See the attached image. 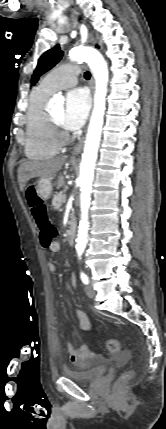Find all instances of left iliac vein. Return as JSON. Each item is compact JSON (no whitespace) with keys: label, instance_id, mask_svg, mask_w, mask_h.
Listing matches in <instances>:
<instances>
[{"label":"left iliac vein","instance_id":"left-iliac-vein-1","mask_svg":"<svg viewBox=\"0 0 166 429\" xmlns=\"http://www.w3.org/2000/svg\"><path fill=\"white\" fill-rule=\"evenodd\" d=\"M85 292H86V295L89 298H94L95 295H96V292H95L94 288L91 285L85 286Z\"/></svg>","mask_w":166,"mask_h":429}]
</instances>
